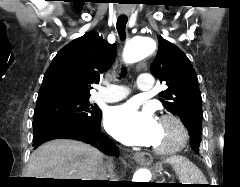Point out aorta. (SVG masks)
Instances as JSON below:
<instances>
[{"label": "aorta", "mask_w": 240, "mask_h": 187, "mask_svg": "<svg viewBox=\"0 0 240 187\" xmlns=\"http://www.w3.org/2000/svg\"><path fill=\"white\" fill-rule=\"evenodd\" d=\"M156 49V43L149 37H135L129 41L124 50V60L127 63L137 62L149 55ZM151 173L147 169H139L133 175L132 182H149Z\"/></svg>", "instance_id": "762f6f07"}]
</instances>
